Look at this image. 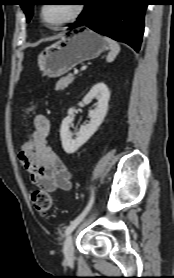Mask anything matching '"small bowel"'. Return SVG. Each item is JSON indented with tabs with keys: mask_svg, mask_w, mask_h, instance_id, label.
Instances as JSON below:
<instances>
[{
	"mask_svg": "<svg viewBox=\"0 0 174 278\" xmlns=\"http://www.w3.org/2000/svg\"><path fill=\"white\" fill-rule=\"evenodd\" d=\"M50 120L43 114L33 121L34 149L28 154H18V158L29 174L31 183L48 193L71 189V172L55 150L48 144Z\"/></svg>",
	"mask_w": 174,
	"mask_h": 278,
	"instance_id": "1",
	"label": "small bowel"
}]
</instances>
